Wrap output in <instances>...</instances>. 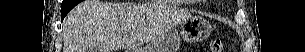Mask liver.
Listing matches in <instances>:
<instances>
[{"mask_svg": "<svg viewBox=\"0 0 305 52\" xmlns=\"http://www.w3.org/2000/svg\"><path fill=\"white\" fill-rule=\"evenodd\" d=\"M186 20L187 12H176ZM161 35L146 5L85 0L63 22V52H117L152 42Z\"/></svg>", "mask_w": 305, "mask_h": 52, "instance_id": "liver-1", "label": "liver"}]
</instances>
